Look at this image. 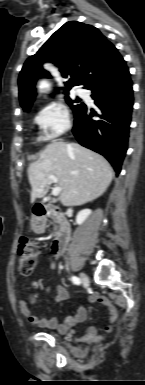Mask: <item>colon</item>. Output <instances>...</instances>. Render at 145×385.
Masks as SVG:
<instances>
[{
    "label": "colon",
    "instance_id": "5ec220e1",
    "mask_svg": "<svg viewBox=\"0 0 145 385\" xmlns=\"http://www.w3.org/2000/svg\"><path fill=\"white\" fill-rule=\"evenodd\" d=\"M40 248L37 243L29 239L20 240L17 250L18 268L23 276L30 275L38 263Z\"/></svg>",
    "mask_w": 145,
    "mask_h": 385
}]
</instances>
